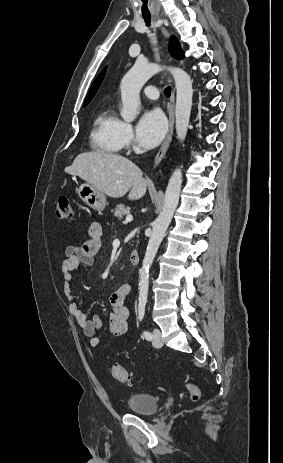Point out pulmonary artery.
I'll return each mask as SVG.
<instances>
[{
    "instance_id": "pulmonary-artery-1",
    "label": "pulmonary artery",
    "mask_w": 283,
    "mask_h": 463,
    "mask_svg": "<svg viewBox=\"0 0 283 463\" xmlns=\"http://www.w3.org/2000/svg\"><path fill=\"white\" fill-rule=\"evenodd\" d=\"M142 93L144 96L153 100L159 97V93L155 86H146L145 88H143Z\"/></svg>"
}]
</instances>
